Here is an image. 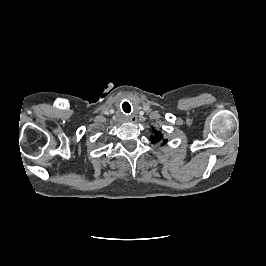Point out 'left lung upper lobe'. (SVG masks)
<instances>
[{
	"label": "left lung upper lobe",
	"mask_w": 266,
	"mask_h": 266,
	"mask_svg": "<svg viewBox=\"0 0 266 266\" xmlns=\"http://www.w3.org/2000/svg\"><path fill=\"white\" fill-rule=\"evenodd\" d=\"M152 138H153L152 143H157L163 140V135L160 132L155 131L154 136ZM166 142L167 140H163V143H166Z\"/></svg>",
	"instance_id": "obj_1"
}]
</instances>
